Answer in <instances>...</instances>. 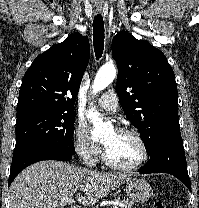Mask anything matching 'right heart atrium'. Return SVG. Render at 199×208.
<instances>
[{
	"label": "right heart atrium",
	"instance_id": "right-heart-atrium-1",
	"mask_svg": "<svg viewBox=\"0 0 199 208\" xmlns=\"http://www.w3.org/2000/svg\"><path fill=\"white\" fill-rule=\"evenodd\" d=\"M73 144L76 152L90 165L96 164L101 155L100 145L89 135L86 125L77 121L73 130Z\"/></svg>",
	"mask_w": 199,
	"mask_h": 208
}]
</instances>
